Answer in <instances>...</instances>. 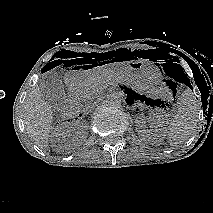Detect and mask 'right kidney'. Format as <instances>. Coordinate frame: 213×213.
Returning a JSON list of instances; mask_svg holds the SVG:
<instances>
[{"label": "right kidney", "mask_w": 213, "mask_h": 213, "mask_svg": "<svg viewBox=\"0 0 213 213\" xmlns=\"http://www.w3.org/2000/svg\"><path fill=\"white\" fill-rule=\"evenodd\" d=\"M86 124L85 123H82L81 125H79V127L77 128L78 129V134L81 135V138L82 139H85L86 138V135H87V132H86Z\"/></svg>", "instance_id": "right-kidney-1"}]
</instances>
